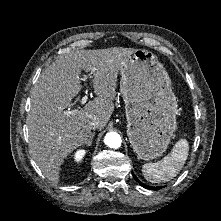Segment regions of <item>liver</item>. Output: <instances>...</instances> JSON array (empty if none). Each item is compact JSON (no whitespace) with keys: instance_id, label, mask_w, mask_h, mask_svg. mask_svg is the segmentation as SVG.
Here are the masks:
<instances>
[{"instance_id":"liver-1","label":"liver","mask_w":221,"mask_h":221,"mask_svg":"<svg viewBox=\"0 0 221 221\" xmlns=\"http://www.w3.org/2000/svg\"><path fill=\"white\" fill-rule=\"evenodd\" d=\"M135 51L111 47L67 52L40 75L31 91L27 117L29 147L32 158L51 182H59L64 159L90 138L91 122L99 121L102 129L110 120L118 73ZM82 69L93 74L97 97L74 114L65 115L64 111L73 106L72 99L82 88L79 77Z\"/></svg>"}]
</instances>
